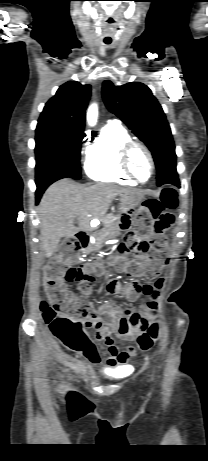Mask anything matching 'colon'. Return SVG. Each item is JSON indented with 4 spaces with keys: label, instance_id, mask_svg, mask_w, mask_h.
<instances>
[{
    "label": "colon",
    "instance_id": "5ec220e1",
    "mask_svg": "<svg viewBox=\"0 0 208 461\" xmlns=\"http://www.w3.org/2000/svg\"><path fill=\"white\" fill-rule=\"evenodd\" d=\"M178 205L177 193L172 188L163 190L161 199H148L134 217V230L125 236V246L133 251L148 255V263L127 261L120 258L117 268L126 275L153 280L159 268L170 261L166 251V230L173 224V215L165 209H175ZM80 241L70 240L60 252L44 267L43 283L48 301L42 300L40 311L49 324L51 333L67 347L79 350L91 344L85 332L82 319L94 314L92 303L83 296L69 291L67 282L76 283L82 293H87L101 267L88 263L83 266H71L74 252L80 247ZM158 324L145 322L137 339L140 350L150 349L158 338Z\"/></svg>",
    "mask_w": 208,
    "mask_h": 461
}]
</instances>
